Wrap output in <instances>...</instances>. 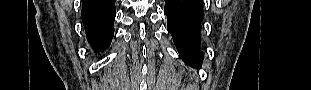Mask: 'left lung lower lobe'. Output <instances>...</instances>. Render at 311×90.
Returning <instances> with one entry per match:
<instances>
[{"instance_id": "0a47b994", "label": "left lung lower lobe", "mask_w": 311, "mask_h": 90, "mask_svg": "<svg viewBox=\"0 0 311 90\" xmlns=\"http://www.w3.org/2000/svg\"><path fill=\"white\" fill-rule=\"evenodd\" d=\"M167 28L182 60L200 67L203 59L200 45V26L204 18L203 0H165Z\"/></svg>"}]
</instances>
